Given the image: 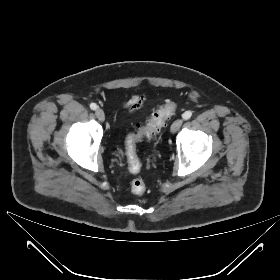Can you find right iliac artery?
<instances>
[{
  "instance_id": "obj_1",
  "label": "right iliac artery",
  "mask_w": 280,
  "mask_h": 280,
  "mask_svg": "<svg viewBox=\"0 0 280 280\" xmlns=\"http://www.w3.org/2000/svg\"><path fill=\"white\" fill-rule=\"evenodd\" d=\"M97 107H98V106H97L95 103H91V104H90V108H91L92 110H96Z\"/></svg>"
}]
</instances>
